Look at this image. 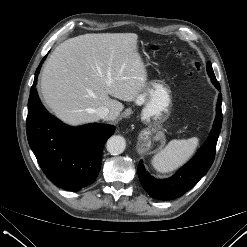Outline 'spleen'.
Segmentation results:
<instances>
[{
	"label": "spleen",
	"mask_w": 247,
	"mask_h": 247,
	"mask_svg": "<svg viewBox=\"0 0 247 247\" xmlns=\"http://www.w3.org/2000/svg\"><path fill=\"white\" fill-rule=\"evenodd\" d=\"M199 143L197 137L172 140L152 159L153 167L161 173L172 172L183 165L195 152Z\"/></svg>",
	"instance_id": "obj_1"
}]
</instances>
